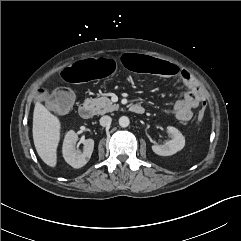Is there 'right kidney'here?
I'll return each mask as SVG.
<instances>
[{
  "label": "right kidney",
  "instance_id": "1",
  "mask_svg": "<svg viewBox=\"0 0 241 241\" xmlns=\"http://www.w3.org/2000/svg\"><path fill=\"white\" fill-rule=\"evenodd\" d=\"M77 141L78 135L71 130L65 135L63 142V157L65 161L73 168H81L86 165L94 149L93 139H86L81 141L83 144L82 151L76 149L75 146Z\"/></svg>",
  "mask_w": 241,
  "mask_h": 241
}]
</instances>
